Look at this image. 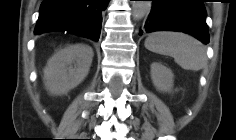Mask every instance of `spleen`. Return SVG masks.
<instances>
[{"instance_id":"1","label":"spleen","mask_w":236,"mask_h":140,"mask_svg":"<svg viewBox=\"0 0 236 140\" xmlns=\"http://www.w3.org/2000/svg\"><path fill=\"white\" fill-rule=\"evenodd\" d=\"M145 47L168 55L185 70L198 71L207 65L206 49L200 41L178 32H155L145 40Z\"/></svg>"}]
</instances>
